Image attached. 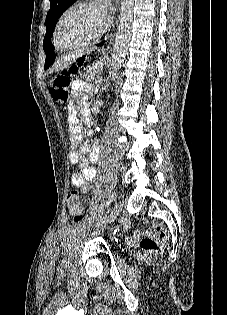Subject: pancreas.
Masks as SVG:
<instances>
[{"label":"pancreas","mask_w":227,"mask_h":315,"mask_svg":"<svg viewBox=\"0 0 227 315\" xmlns=\"http://www.w3.org/2000/svg\"><path fill=\"white\" fill-rule=\"evenodd\" d=\"M102 72L101 68H97L95 66H89L85 73L83 74V78H85L88 82L94 81L95 76L99 75Z\"/></svg>","instance_id":"obj_1"}]
</instances>
